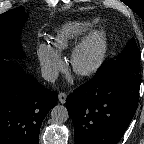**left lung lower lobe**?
I'll use <instances>...</instances> for the list:
<instances>
[{"mask_svg": "<svg viewBox=\"0 0 144 144\" xmlns=\"http://www.w3.org/2000/svg\"><path fill=\"white\" fill-rule=\"evenodd\" d=\"M140 84L139 74L106 77L101 67L75 89L66 99L75 144H117L136 112Z\"/></svg>", "mask_w": 144, "mask_h": 144, "instance_id": "left-lung-lower-lobe-1", "label": "left lung lower lobe"}]
</instances>
